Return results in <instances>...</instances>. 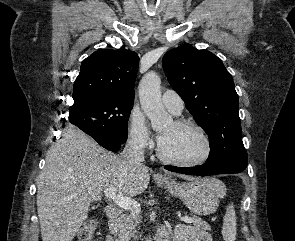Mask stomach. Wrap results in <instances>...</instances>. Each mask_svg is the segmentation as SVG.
Segmentation results:
<instances>
[{"instance_id":"stomach-1","label":"stomach","mask_w":295,"mask_h":241,"mask_svg":"<svg viewBox=\"0 0 295 241\" xmlns=\"http://www.w3.org/2000/svg\"><path fill=\"white\" fill-rule=\"evenodd\" d=\"M160 184L173 196L178 197L187 208L198 215H209L219 206L226 193L224 184L216 179H194L185 182L160 180Z\"/></svg>"}]
</instances>
